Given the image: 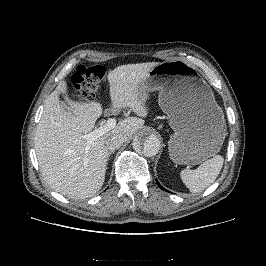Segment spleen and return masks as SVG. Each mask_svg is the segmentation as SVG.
Masks as SVG:
<instances>
[{
  "instance_id": "spleen-1",
  "label": "spleen",
  "mask_w": 266,
  "mask_h": 266,
  "mask_svg": "<svg viewBox=\"0 0 266 266\" xmlns=\"http://www.w3.org/2000/svg\"><path fill=\"white\" fill-rule=\"evenodd\" d=\"M223 162V156L215 155L213 158L203 162L195 170H182L180 173L181 179L191 192H201L216 180L222 169Z\"/></svg>"
}]
</instances>
